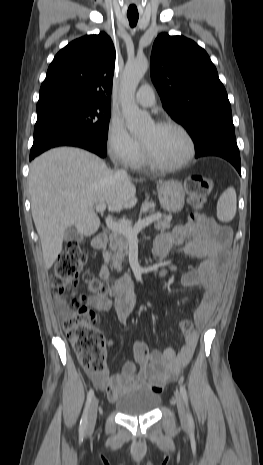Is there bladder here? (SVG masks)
Masks as SVG:
<instances>
[{
	"label": "bladder",
	"instance_id": "1",
	"mask_svg": "<svg viewBox=\"0 0 263 465\" xmlns=\"http://www.w3.org/2000/svg\"><path fill=\"white\" fill-rule=\"evenodd\" d=\"M158 393L147 388H133L125 392L114 403L117 412L137 417L153 412L160 404Z\"/></svg>",
	"mask_w": 263,
	"mask_h": 465
}]
</instances>
